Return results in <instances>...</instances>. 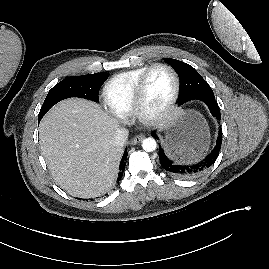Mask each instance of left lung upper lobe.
<instances>
[{"mask_svg":"<svg viewBox=\"0 0 269 269\" xmlns=\"http://www.w3.org/2000/svg\"><path fill=\"white\" fill-rule=\"evenodd\" d=\"M165 62L170 64L179 76L181 85L179 102H186L194 98L205 96L214 97V93L209 84L192 66L171 58H166Z\"/></svg>","mask_w":269,"mask_h":269,"instance_id":"obj_1","label":"left lung upper lobe"}]
</instances>
